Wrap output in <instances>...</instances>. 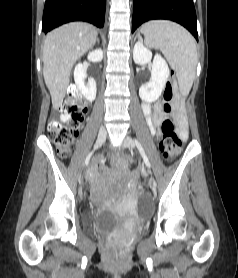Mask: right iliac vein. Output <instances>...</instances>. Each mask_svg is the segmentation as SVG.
<instances>
[{"instance_id":"1","label":"right iliac vein","mask_w":238,"mask_h":278,"mask_svg":"<svg viewBox=\"0 0 238 278\" xmlns=\"http://www.w3.org/2000/svg\"><path fill=\"white\" fill-rule=\"evenodd\" d=\"M106 137H107V132L105 128L103 127L100 128L94 148L95 149L99 148L105 142ZM81 180H82V175H78L77 184H81Z\"/></svg>"}]
</instances>
